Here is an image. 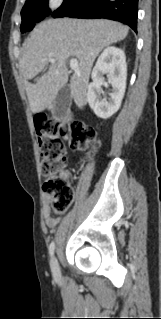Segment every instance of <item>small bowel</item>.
<instances>
[{
  "instance_id": "small-bowel-1",
  "label": "small bowel",
  "mask_w": 161,
  "mask_h": 319,
  "mask_svg": "<svg viewBox=\"0 0 161 319\" xmlns=\"http://www.w3.org/2000/svg\"><path fill=\"white\" fill-rule=\"evenodd\" d=\"M61 176L63 178H67L68 177V173L64 172V173H62ZM51 199H52V196L50 194H45L44 195V200L46 202V205L43 208V213H44V218H45L47 226L49 228H54L58 224L59 219L57 217H53L51 215L50 208L48 206V203L51 202Z\"/></svg>"
}]
</instances>
